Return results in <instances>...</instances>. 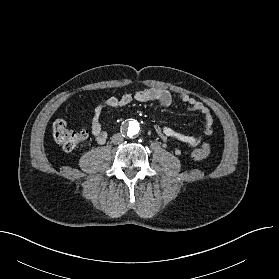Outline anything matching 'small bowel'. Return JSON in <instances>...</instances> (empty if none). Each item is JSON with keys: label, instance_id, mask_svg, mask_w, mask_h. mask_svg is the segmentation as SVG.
<instances>
[{"label": "small bowel", "instance_id": "1", "mask_svg": "<svg viewBox=\"0 0 279 279\" xmlns=\"http://www.w3.org/2000/svg\"><path fill=\"white\" fill-rule=\"evenodd\" d=\"M180 101L189 111L199 112L203 115L205 123L202 133L199 135H187L167 126L159 127L157 131L163 140H166L167 138H174L189 147L197 146L204 140L205 137L210 136L213 132L212 115L209 109L205 107L202 102L188 94H181ZM133 102H158L164 107H169L172 103V95L169 91L164 89L148 88L135 93H126L120 97L111 96L98 103L94 109L90 122L91 134L97 143L103 144L107 140V133L102 129L100 124V118L104 109L121 108L130 105ZM174 151L177 154L181 152L179 148H175Z\"/></svg>", "mask_w": 279, "mask_h": 279}]
</instances>
